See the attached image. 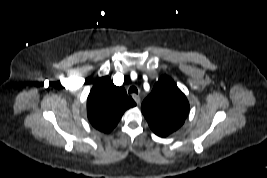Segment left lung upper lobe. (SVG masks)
Here are the masks:
<instances>
[{"label": "left lung upper lobe", "instance_id": "5c2ea615", "mask_svg": "<svg viewBox=\"0 0 267 178\" xmlns=\"http://www.w3.org/2000/svg\"><path fill=\"white\" fill-rule=\"evenodd\" d=\"M141 111L153 132L166 137L183 125L189 103L172 79L161 76L143 101Z\"/></svg>", "mask_w": 267, "mask_h": 178}]
</instances>
